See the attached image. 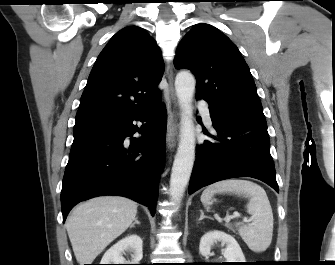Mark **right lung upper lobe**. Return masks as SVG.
<instances>
[{"label":"right lung upper lobe","mask_w":335,"mask_h":265,"mask_svg":"<svg viewBox=\"0 0 335 265\" xmlns=\"http://www.w3.org/2000/svg\"><path fill=\"white\" fill-rule=\"evenodd\" d=\"M164 62L140 27L116 33L99 54L80 99L75 126L102 125L154 107Z\"/></svg>","instance_id":"right-lung-upper-lobe-1"}]
</instances>
